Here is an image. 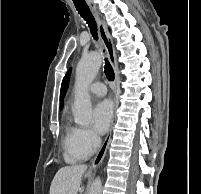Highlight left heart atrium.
<instances>
[{
  "label": "left heart atrium",
  "mask_w": 201,
  "mask_h": 194,
  "mask_svg": "<svg viewBox=\"0 0 201 194\" xmlns=\"http://www.w3.org/2000/svg\"><path fill=\"white\" fill-rule=\"evenodd\" d=\"M113 118V105L109 100H102L93 109V124L99 134L105 133Z\"/></svg>",
  "instance_id": "left-heart-atrium-1"
}]
</instances>
